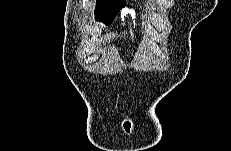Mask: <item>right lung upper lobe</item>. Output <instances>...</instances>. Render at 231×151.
I'll return each instance as SVG.
<instances>
[{"instance_id":"right-lung-upper-lobe-1","label":"right lung upper lobe","mask_w":231,"mask_h":151,"mask_svg":"<svg viewBox=\"0 0 231 151\" xmlns=\"http://www.w3.org/2000/svg\"><path fill=\"white\" fill-rule=\"evenodd\" d=\"M109 1H114V2H125L126 0H109Z\"/></svg>"}]
</instances>
